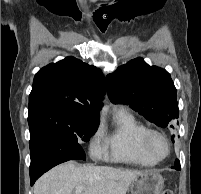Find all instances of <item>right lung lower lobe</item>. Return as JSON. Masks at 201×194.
I'll return each instance as SVG.
<instances>
[{
    "label": "right lung lower lobe",
    "instance_id": "1",
    "mask_svg": "<svg viewBox=\"0 0 201 194\" xmlns=\"http://www.w3.org/2000/svg\"><path fill=\"white\" fill-rule=\"evenodd\" d=\"M30 135L31 185L55 165L75 159L80 153H84L77 141L52 133L45 128Z\"/></svg>",
    "mask_w": 201,
    "mask_h": 194
}]
</instances>
